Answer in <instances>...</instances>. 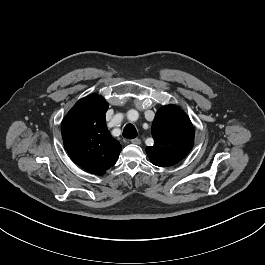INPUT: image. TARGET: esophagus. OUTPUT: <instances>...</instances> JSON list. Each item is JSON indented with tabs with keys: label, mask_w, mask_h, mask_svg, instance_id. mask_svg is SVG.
<instances>
[{
	"label": "esophagus",
	"mask_w": 265,
	"mask_h": 265,
	"mask_svg": "<svg viewBox=\"0 0 265 265\" xmlns=\"http://www.w3.org/2000/svg\"><path fill=\"white\" fill-rule=\"evenodd\" d=\"M132 144L139 145L141 143V140L139 138H135L131 140Z\"/></svg>",
	"instance_id": "obj_1"
}]
</instances>
